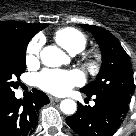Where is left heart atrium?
Instances as JSON below:
<instances>
[{
	"label": "left heart atrium",
	"instance_id": "left-heart-atrium-1",
	"mask_svg": "<svg viewBox=\"0 0 136 136\" xmlns=\"http://www.w3.org/2000/svg\"><path fill=\"white\" fill-rule=\"evenodd\" d=\"M37 85L44 91L52 94H64L72 87L81 85L83 75L77 70L64 71L46 69L37 75Z\"/></svg>",
	"mask_w": 136,
	"mask_h": 136
}]
</instances>
